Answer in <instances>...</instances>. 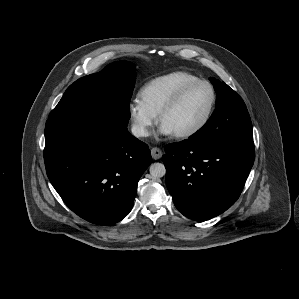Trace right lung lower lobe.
Here are the masks:
<instances>
[{"mask_svg": "<svg viewBox=\"0 0 299 299\" xmlns=\"http://www.w3.org/2000/svg\"><path fill=\"white\" fill-rule=\"evenodd\" d=\"M110 109L72 119H48L44 161L48 178L81 218L110 225L132 209L137 183L151 164L148 146Z\"/></svg>", "mask_w": 299, "mask_h": 299, "instance_id": "obj_1", "label": "right lung lower lobe"}]
</instances>
